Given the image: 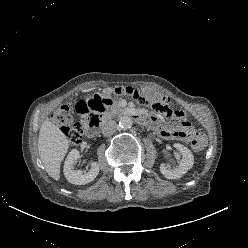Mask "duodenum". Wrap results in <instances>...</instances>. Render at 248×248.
Returning <instances> with one entry per match:
<instances>
[{
    "label": "duodenum",
    "mask_w": 248,
    "mask_h": 248,
    "mask_svg": "<svg viewBox=\"0 0 248 248\" xmlns=\"http://www.w3.org/2000/svg\"><path fill=\"white\" fill-rule=\"evenodd\" d=\"M123 113L125 114H128L130 116H132L135 120L141 122V123H145V124H149L150 121L148 118L144 117L142 114H140L139 112H136V111H126V110H123L122 111ZM109 118V116H104V115H95L93 118H91L89 124L87 125L86 127V134L89 136V137H94L101 124L106 121L107 119Z\"/></svg>",
    "instance_id": "410a0bca"
}]
</instances>
